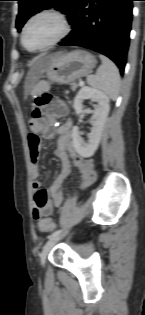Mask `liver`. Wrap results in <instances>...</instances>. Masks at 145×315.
<instances>
[{"label": "liver", "instance_id": "obj_1", "mask_svg": "<svg viewBox=\"0 0 145 315\" xmlns=\"http://www.w3.org/2000/svg\"><path fill=\"white\" fill-rule=\"evenodd\" d=\"M58 54L60 53L41 57L35 62V64L30 69L26 77L24 86L25 95H27L31 91V89L34 88V85L38 81L39 77L43 74L44 70L49 66L51 59Z\"/></svg>", "mask_w": 145, "mask_h": 315}]
</instances>
